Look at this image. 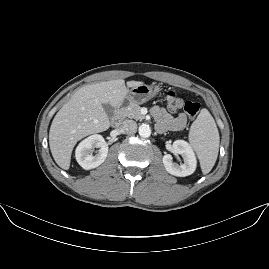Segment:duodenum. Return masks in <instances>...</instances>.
Returning a JSON list of instances; mask_svg holds the SVG:
<instances>
[{
	"label": "duodenum",
	"instance_id": "obj_1",
	"mask_svg": "<svg viewBox=\"0 0 269 269\" xmlns=\"http://www.w3.org/2000/svg\"><path fill=\"white\" fill-rule=\"evenodd\" d=\"M122 118H123V109H122V106L119 105L117 106L115 110V114L112 118V121H111L112 125L117 126L121 122Z\"/></svg>",
	"mask_w": 269,
	"mask_h": 269
}]
</instances>
